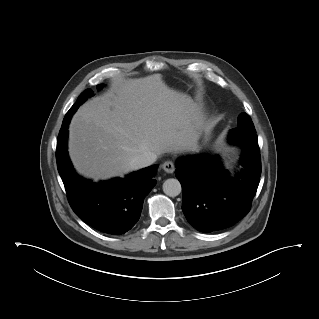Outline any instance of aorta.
Instances as JSON below:
<instances>
[{
    "label": "aorta",
    "instance_id": "aorta-1",
    "mask_svg": "<svg viewBox=\"0 0 319 319\" xmlns=\"http://www.w3.org/2000/svg\"><path fill=\"white\" fill-rule=\"evenodd\" d=\"M181 184L177 179L170 178L163 183V191L167 196L176 197L181 193Z\"/></svg>",
    "mask_w": 319,
    "mask_h": 319
}]
</instances>
